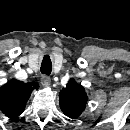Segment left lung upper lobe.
<instances>
[{
	"instance_id": "1",
	"label": "left lung upper lobe",
	"mask_w": 130,
	"mask_h": 130,
	"mask_svg": "<svg viewBox=\"0 0 130 130\" xmlns=\"http://www.w3.org/2000/svg\"><path fill=\"white\" fill-rule=\"evenodd\" d=\"M87 94L85 89L71 78L66 87L60 91L59 103L62 112L70 118H78L86 108Z\"/></svg>"
}]
</instances>
